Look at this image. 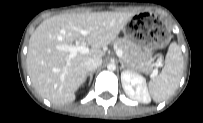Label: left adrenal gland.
Returning <instances> with one entry per match:
<instances>
[{
    "instance_id": "a2214340",
    "label": "left adrenal gland",
    "mask_w": 203,
    "mask_h": 123,
    "mask_svg": "<svg viewBox=\"0 0 203 123\" xmlns=\"http://www.w3.org/2000/svg\"><path fill=\"white\" fill-rule=\"evenodd\" d=\"M119 61H120V64H121V67H120L121 70L124 69L125 67H128V65H126L122 59H119Z\"/></svg>"
}]
</instances>
